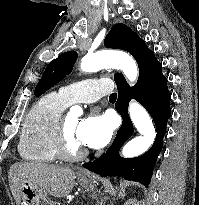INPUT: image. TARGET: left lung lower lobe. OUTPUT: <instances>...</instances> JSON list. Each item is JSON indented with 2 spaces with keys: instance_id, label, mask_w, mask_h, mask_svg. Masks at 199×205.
<instances>
[{
  "instance_id": "left-lung-lower-lobe-1",
  "label": "left lung lower lobe",
  "mask_w": 199,
  "mask_h": 205,
  "mask_svg": "<svg viewBox=\"0 0 199 205\" xmlns=\"http://www.w3.org/2000/svg\"><path fill=\"white\" fill-rule=\"evenodd\" d=\"M127 52L132 54L138 63L139 78L133 88L129 87L122 74L114 79L118 87L115 108L123 117L122 126L107 152L93 162L84 164L83 167L103 177L120 176L148 186L155 162L162 150L166 124L171 115V94L167 88V79L162 74L161 63L142 39L136 36ZM131 98L141 103L152 116L157 135L153 146L142 156L122 158L119 156L120 148L134 131L128 115V104Z\"/></svg>"
}]
</instances>
